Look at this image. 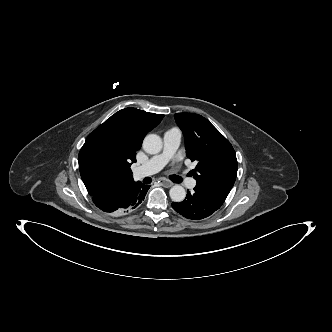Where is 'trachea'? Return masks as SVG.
Returning <instances> with one entry per match:
<instances>
[{
	"label": "trachea",
	"mask_w": 332,
	"mask_h": 332,
	"mask_svg": "<svg viewBox=\"0 0 332 332\" xmlns=\"http://www.w3.org/2000/svg\"><path fill=\"white\" fill-rule=\"evenodd\" d=\"M176 179H177V182H181V180H182L181 177H177Z\"/></svg>",
	"instance_id": "trachea-1"
}]
</instances>
